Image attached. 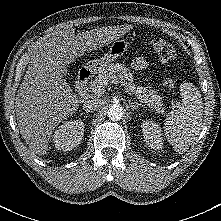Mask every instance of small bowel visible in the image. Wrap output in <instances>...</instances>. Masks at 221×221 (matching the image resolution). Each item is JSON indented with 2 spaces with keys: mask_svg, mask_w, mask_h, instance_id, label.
Segmentation results:
<instances>
[{
  "mask_svg": "<svg viewBox=\"0 0 221 221\" xmlns=\"http://www.w3.org/2000/svg\"><path fill=\"white\" fill-rule=\"evenodd\" d=\"M149 66V63L143 57H137L132 62V67L135 69H145Z\"/></svg>",
  "mask_w": 221,
  "mask_h": 221,
  "instance_id": "1",
  "label": "small bowel"
}]
</instances>
